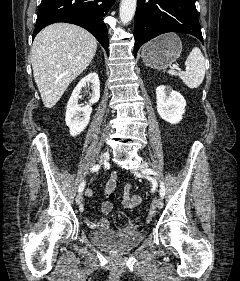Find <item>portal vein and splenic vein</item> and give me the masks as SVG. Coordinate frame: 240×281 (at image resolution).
<instances>
[{
    "label": "portal vein and splenic vein",
    "instance_id": "18ae733b",
    "mask_svg": "<svg viewBox=\"0 0 240 281\" xmlns=\"http://www.w3.org/2000/svg\"><path fill=\"white\" fill-rule=\"evenodd\" d=\"M173 68L180 70L179 66H173Z\"/></svg>",
    "mask_w": 240,
    "mask_h": 281
}]
</instances>
